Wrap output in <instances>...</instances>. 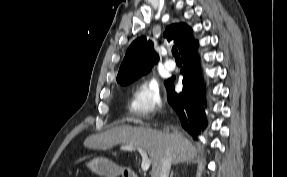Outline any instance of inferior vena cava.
I'll use <instances>...</instances> for the list:
<instances>
[{
  "label": "inferior vena cava",
  "mask_w": 287,
  "mask_h": 177,
  "mask_svg": "<svg viewBox=\"0 0 287 177\" xmlns=\"http://www.w3.org/2000/svg\"><path fill=\"white\" fill-rule=\"evenodd\" d=\"M171 156L169 150L166 151L165 156L161 159L153 177H168L171 168Z\"/></svg>",
  "instance_id": "obj_1"
}]
</instances>
